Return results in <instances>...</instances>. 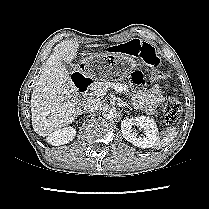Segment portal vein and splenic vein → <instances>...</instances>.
<instances>
[{
	"label": "portal vein and splenic vein",
	"instance_id": "obj_1",
	"mask_svg": "<svg viewBox=\"0 0 209 209\" xmlns=\"http://www.w3.org/2000/svg\"><path fill=\"white\" fill-rule=\"evenodd\" d=\"M108 88H113L119 93H122V91H123L122 86H119V85L114 84V83H108L106 86L97 88L94 93H95L96 96H103V95L106 94V91H107Z\"/></svg>",
	"mask_w": 209,
	"mask_h": 209
}]
</instances>
